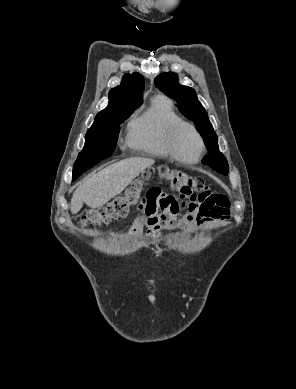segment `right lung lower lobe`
<instances>
[{
	"mask_svg": "<svg viewBox=\"0 0 296 389\" xmlns=\"http://www.w3.org/2000/svg\"><path fill=\"white\" fill-rule=\"evenodd\" d=\"M94 165L92 164H86V165H83L82 167H78V168H73V180H75L78 176H80L84 171H86L87 169H89L90 167H92Z\"/></svg>",
	"mask_w": 296,
	"mask_h": 389,
	"instance_id": "98d812e1",
	"label": "right lung lower lobe"
}]
</instances>
